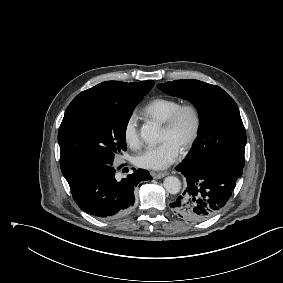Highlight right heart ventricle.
<instances>
[{
	"label": "right heart ventricle",
	"instance_id": "1",
	"mask_svg": "<svg viewBox=\"0 0 283 283\" xmlns=\"http://www.w3.org/2000/svg\"><path fill=\"white\" fill-rule=\"evenodd\" d=\"M179 105V101L175 99L158 97L149 101L141 112L147 118L164 124Z\"/></svg>",
	"mask_w": 283,
	"mask_h": 283
}]
</instances>
